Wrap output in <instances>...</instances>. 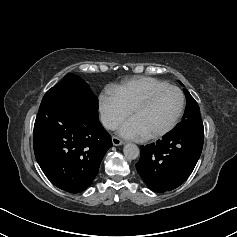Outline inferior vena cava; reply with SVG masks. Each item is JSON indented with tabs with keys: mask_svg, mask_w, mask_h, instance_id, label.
<instances>
[{
	"mask_svg": "<svg viewBox=\"0 0 237 237\" xmlns=\"http://www.w3.org/2000/svg\"><path fill=\"white\" fill-rule=\"evenodd\" d=\"M100 121L105 128L110 130H115L118 126V122L110 116L102 115Z\"/></svg>",
	"mask_w": 237,
	"mask_h": 237,
	"instance_id": "obj_1",
	"label": "inferior vena cava"
}]
</instances>
